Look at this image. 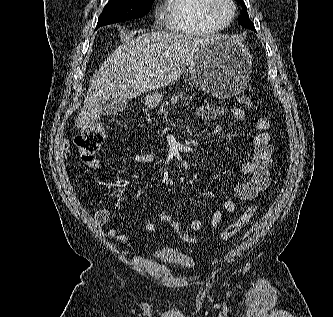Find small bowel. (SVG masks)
Masks as SVG:
<instances>
[{"instance_id":"obj_1","label":"small bowel","mask_w":333,"mask_h":317,"mask_svg":"<svg viewBox=\"0 0 333 317\" xmlns=\"http://www.w3.org/2000/svg\"><path fill=\"white\" fill-rule=\"evenodd\" d=\"M198 116L205 120H215L223 115L230 113L236 119L240 121L246 120V114L240 108L234 107L229 111L221 106H199L196 109ZM269 121L261 117L257 120L255 125L256 135L253 139L252 150L248 161L242 167V173L248 176V180L241 181L237 183L234 187L235 196L244 201H250L255 199L258 194L264 191L271 182V175L269 172V167L273 161V148L270 142L269 135ZM155 155L153 152H143L137 153L133 156V161L138 164H150L154 161ZM97 161H94L92 166L96 167ZM76 183L80 186L81 182L77 177H74ZM204 194L208 197L218 199L219 203L213 212L210 220V227L216 228L223 224L227 217H225L224 212L229 214L234 213L237 210V204L231 199L221 198L217 194L206 191ZM157 217L159 220L170 224L175 220L174 216L167 213H158ZM93 219L95 223L99 226L105 225L110 219V212L107 209H96L93 214ZM203 222L200 219H194L190 225L189 229L192 232L198 231L202 228ZM144 229L152 233L156 230L155 224L149 219L144 220ZM107 235L118 241L126 242L130 239L128 233H120L116 228L111 227L107 231Z\"/></svg>"}]
</instances>
